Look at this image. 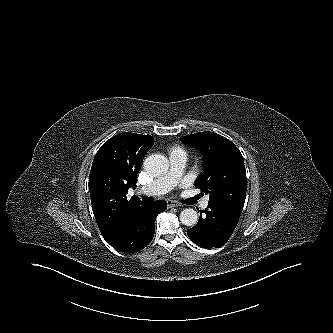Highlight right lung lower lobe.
Listing matches in <instances>:
<instances>
[{
	"label": "right lung lower lobe",
	"instance_id": "right-lung-lower-lobe-1",
	"mask_svg": "<svg viewBox=\"0 0 333 333\" xmlns=\"http://www.w3.org/2000/svg\"><path fill=\"white\" fill-rule=\"evenodd\" d=\"M166 208L165 201L143 203L136 206L127 214L118 233L108 243L113 248L125 253L143 249L154 236L157 215Z\"/></svg>",
	"mask_w": 333,
	"mask_h": 333
}]
</instances>
